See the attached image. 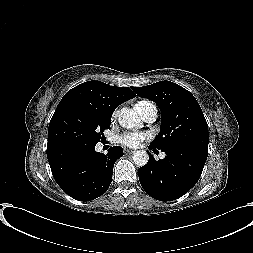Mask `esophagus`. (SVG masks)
Instances as JSON below:
<instances>
[{
    "mask_svg": "<svg viewBox=\"0 0 253 253\" xmlns=\"http://www.w3.org/2000/svg\"><path fill=\"white\" fill-rule=\"evenodd\" d=\"M124 152H125L126 154H132V153L135 152V150H132V149H125Z\"/></svg>",
    "mask_w": 253,
    "mask_h": 253,
    "instance_id": "obj_1",
    "label": "esophagus"
}]
</instances>
